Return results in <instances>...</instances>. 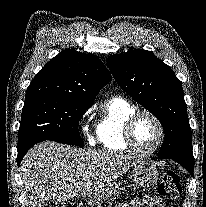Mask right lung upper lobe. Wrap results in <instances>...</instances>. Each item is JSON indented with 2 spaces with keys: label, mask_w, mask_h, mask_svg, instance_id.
<instances>
[{
  "label": "right lung upper lobe",
  "mask_w": 206,
  "mask_h": 207,
  "mask_svg": "<svg viewBox=\"0 0 206 207\" xmlns=\"http://www.w3.org/2000/svg\"><path fill=\"white\" fill-rule=\"evenodd\" d=\"M111 75L93 54L67 49L52 58L27 88L25 102L51 97L92 104Z\"/></svg>",
  "instance_id": "cb5924a9"
}]
</instances>
